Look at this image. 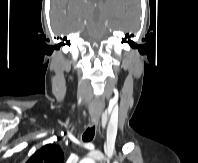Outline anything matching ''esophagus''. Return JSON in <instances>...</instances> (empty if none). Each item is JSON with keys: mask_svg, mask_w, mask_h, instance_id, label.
Returning <instances> with one entry per match:
<instances>
[{"mask_svg": "<svg viewBox=\"0 0 198 163\" xmlns=\"http://www.w3.org/2000/svg\"><path fill=\"white\" fill-rule=\"evenodd\" d=\"M98 124H99V118H96V117H92L91 119H90V125L91 126H98Z\"/></svg>", "mask_w": 198, "mask_h": 163, "instance_id": "1", "label": "esophagus"}]
</instances>
